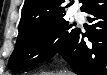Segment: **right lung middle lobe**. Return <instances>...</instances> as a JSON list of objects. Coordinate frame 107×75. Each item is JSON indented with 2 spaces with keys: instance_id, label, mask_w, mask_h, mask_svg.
<instances>
[{
  "instance_id": "1",
  "label": "right lung middle lobe",
  "mask_w": 107,
  "mask_h": 75,
  "mask_svg": "<svg viewBox=\"0 0 107 75\" xmlns=\"http://www.w3.org/2000/svg\"><path fill=\"white\" fill-rule=\"evenodd\" d=\"M64 18L40 26L20 25L16 47L10 56L9 69L20 71L51 59L67 45L79 28Z\"/></svg>"
}]
</instances>
